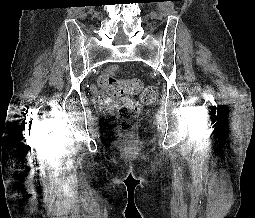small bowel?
<instances>
[{
    "label": "small bowel",
    "instance_id": "1",
    "mask_svg": "<svg viewBox=\"0 0 255 218\" xmlns=\"http://www.w3.org/2000/svg\"><path fill=\"white\" fill-rule=\"evenodd\" d=\"M107 76V75H106ZM95 98L97 99V100H100V99H102V96L99 94V93H96V95H95ZM107 101V103L108 104H115V102L114 101H112V100H106Z\"/></svg>",
    "mask_w": 255,
    "mask_h": 218
}]
</instances>
